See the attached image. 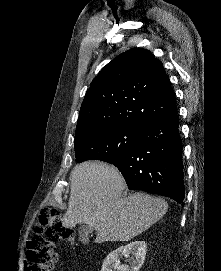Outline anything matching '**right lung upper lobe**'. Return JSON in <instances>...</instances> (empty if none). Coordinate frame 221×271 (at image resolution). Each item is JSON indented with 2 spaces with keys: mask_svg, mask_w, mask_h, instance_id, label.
I'll list each match as a JSON object with an SVG mask.
<instances>
[{
  "mask_svg": "<svg viewBox=\"0 0 221 271\" xmlns=\"http://www.w3.org/2000/svg\"><path fill=\"white\" fill-rule=\"evenodd\" d=\"M177 111L163 64L145 49H130L92 81L81 105L75 138L117 125L146 127Z\"/></svg>",
  "mask_w": 221,
  "mask_h": 271,
  "instance_id": "obj_1",
  "label": "right lung upper lobe"
}]
</instances>
